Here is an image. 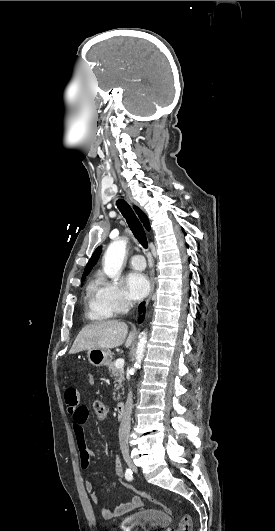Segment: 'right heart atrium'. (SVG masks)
<instances>
[{
	"label": "right heart atrium",
	"mask_w": 275,
	"mask_h": 531,
	"mask_svg": "<svg viewBox=\"0 0 275 531\" xmlns=\"http://www.w3.org/2000/svg\"><path fill=\"white\" fill-rule=\"evenodd\" d=\"M130 299L118 282L101 276L95 285L94 306L107 317H118L130 308Z\"/></svg>",
	"instance_id": "obj_1"
}]
</instances>
